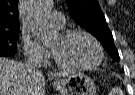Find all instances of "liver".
Masks as SVG:
<instances>
[{"label": "liver", "mask_w": 135, "mask_h": 95, "mask_svg": "<svg viewBox=\"0 0 135 95\" xmlns=\"http://www.w3.org/2000/svg\"><path fill=\"white\" fill-rule=\"evenodd\" d=\"M54 77H66V72L48 73ZM45 79L35 70L28 71L25 64L0 57V95H44Z\"/></svg>", "instance_id": "6515ba94"}]
</instances>
